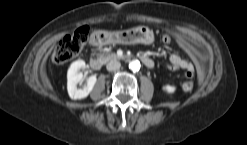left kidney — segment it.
Here are the masks:
<instances>
[{"instance_id":"left-kidney-1","label":"left kidney","mask_w":247,"mask_h":145,"mask_svg":"<svg viewBox=\"0 0 247 145\" xmlns=\"http://www.w3.org/2000/svg\"><path fill=\"white\" fill-rule=\"evenodd\" d=\"M165 92L167 93H174L175 90H176V87L175 86H171V85H165L163 86L162 88Z\"/></svg>"}]
</instances>
